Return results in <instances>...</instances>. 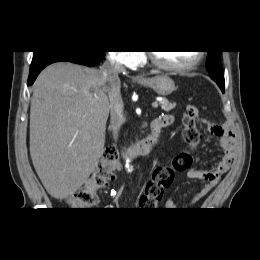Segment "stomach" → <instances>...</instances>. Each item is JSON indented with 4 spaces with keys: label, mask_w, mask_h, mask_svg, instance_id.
<instances>
[{
    "label": "stomach",
    "mask_w": 260,
    "mask_h": 260,
    "mask_svg": "<svg viewBox=\"0 0 260 260\" xmlns=\"http://www.w3.org/2000/svg\"><path fill=\"white\" fill-rule=\"evenodd\" d=\"M139 83L153 89L158 95L168 96L176 90L174 81L167 75H157L140 80Z\"/></svg>",
    "instance_id": "1"
}]
</instances>
